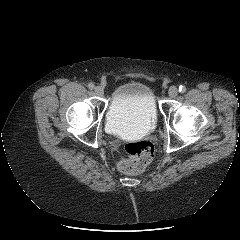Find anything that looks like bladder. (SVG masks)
Instances as JSON below:
<instances>
[{
	"mask_svg": "<svg viewBox=\"0 0 240 240\" xmlns=\"http://www.w3.org/2000/svg\"><path fill=\"white\" fill-rule=\"evenodd\" d=\"M158 107L150 85L128 81L115 89L106 112V127L117 136L148 134L156 126Z\"/></svg>",
	"mask_w": 240,
	"mask_h": 240,
	"instance_id": "31cf9c89",
	"label": "bladder"
}]
</instances>
